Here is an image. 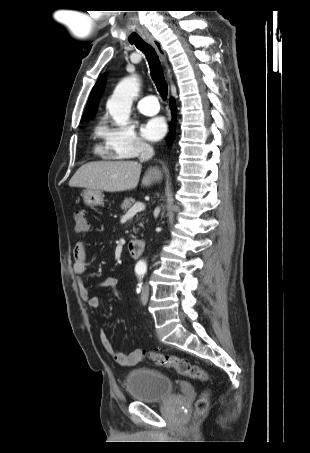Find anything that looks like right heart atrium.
<instances>
[{"mask_svg":"<svg viewBox=\"0 0 310 453\" xmlns=\"http://www.w3.org/2000/svg\"><path fill=\"white\" fill-rule=\"evenodd\" d=\"M99 134L103 139L106 154L115 158L135 157L149 147L130 124L105 122L100 127Z\"/></svg>","mask_w":310,"mask_h":453,"instance_id":"obj_1","label":"right heart atrium"}]
</instances>
